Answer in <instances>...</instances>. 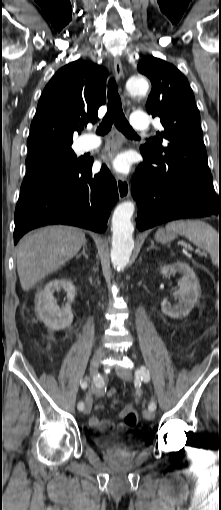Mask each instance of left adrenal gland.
<instances>
[{"label":"left adrenal gland","mask_w":221,"mask_h":510,"mask_svg":"<svg viewBox=\"0 0 221 510\" xmlns=\"http://www.w3.org/2000/svg\"><path fill=\"white\" fill-rule=\"evenodd\" d=\"M150 249H156V250L158 249V247H156V246L154 245V241H151V245H150V247H149V248H147V251H149Z\"/></svg>","instance_id":"a2214340"}]
</instances>
